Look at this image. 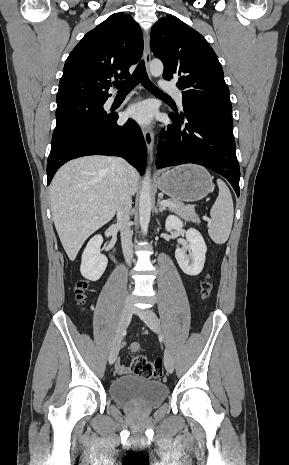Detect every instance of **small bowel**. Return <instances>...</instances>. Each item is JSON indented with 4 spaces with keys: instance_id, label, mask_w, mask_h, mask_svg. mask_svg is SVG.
Here are the masks:
<instances>
[{
    "instance_id": "obj_1",
    "label": "small bowel",
    "mask_w": 289,
    "mask_h": 465,
    "mask_svg": "<svg viewBox=\"0 0 289 465\" xmlns=\"http://www.w3.org/2000/svg\"><path fill=\"white\" fill-rule=\"evenodd\" d=\"M116 372L118 374H126L129 372V368L122 364L121 362L116 363Z\"/></svg>"
}]
</instances>
